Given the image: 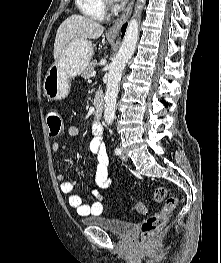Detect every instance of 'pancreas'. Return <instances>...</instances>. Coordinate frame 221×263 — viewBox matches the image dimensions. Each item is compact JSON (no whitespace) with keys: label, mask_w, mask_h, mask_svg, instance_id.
I'll return each instance as SVG.
<instances>
[{"label":"pancreas","mask_w":221,"mask_h":263,"mask_svg":"<svg viewBox=\"0 0 221 263\" xmlns=\"http://www.w3.org/2000/svg\"><path fill=\"white\" fill-rule=\"evenodd\" d=\"M96 65H97V61H96V60L92 61V62L88 65V67L83 71V73H82L81 76H82L84 79H89V78L91 77V73H92V72H95V67H96Z\"/></svg>","instance_id":"1"}]
</instances>
